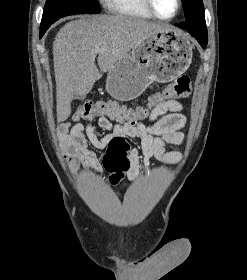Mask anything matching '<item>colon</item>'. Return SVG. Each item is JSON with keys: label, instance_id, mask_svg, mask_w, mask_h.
Instances as JSON below:
<instances>
[{"label": "colon", "instance_id": "5ec220e1", "mask_svg": "<svg viewBox=\"0 0 247 280\" xmlns=\"http://www.w3.org/2000/svg\"><path fill=\"white\" fill-rule=\"evenodd\" d=\"M191 89L190 77L182 75L164 90L151 94L146 105L128 107L115 101L88 100L79 105L74 120H92L105 116L117 122L136 125L148 117L151 109L169 100L186 98L191 94ZM129 150L130 145L124 139H114L107 147L102 165L113 184L118 183L130 168Z\"/></svg>", "mask_w": 247, "mask_h": 280}]
</instances>
